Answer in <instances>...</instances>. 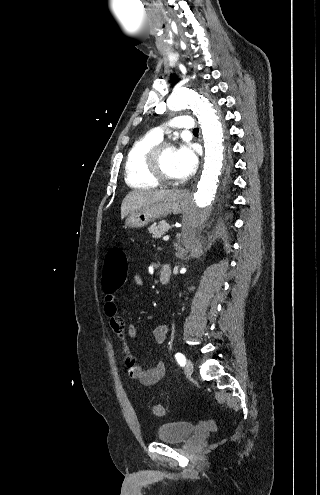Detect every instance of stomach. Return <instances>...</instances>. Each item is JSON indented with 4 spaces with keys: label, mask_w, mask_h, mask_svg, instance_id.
<instances>
[{
    "label": "stomach",
    "mask_w": 320,
    "mask_h": 495,
    "mask_svg": "<svg viewBox=\"0 0 320 495\" xmlns=\"http://www.w3.org/2000/svg\"><path fill=\"white\" fill-rule=\"evenodd\" d=\"M187 207L186 196L182 191L175 190L163 199L132 211L126 219L128 228H142L158 218H162L171 213H182Z\"/></svg>",
    "instance_id": "stomach-1"
}]
</instances>
